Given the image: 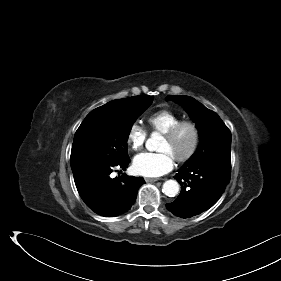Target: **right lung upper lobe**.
Returning <instances> with one entry per match:
<instances>
[{"label": "right lung upper lobe", "instance_id": "cb5924a9", "mask_svg": "<svg viewBox=\"0 0 281 281\" xmlns=\"http://www.w3.org/2000/svg\"><path fill=\"white\" fill-rule=\"evenodd\" d=\"M128 98H125V99H118V100H113L103 106H101L102 108H110V107H114V106H117L118 104H120L121 102L127 100Z\"/></svg>", "mask_w": 281, "mask_h": 281}]
</instances>
